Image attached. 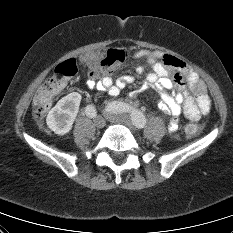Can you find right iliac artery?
<instances>
[{"instance_id":"right-iliac-artery-1","label":"right iliac artery","mask_w":233,"mask_h":233,"mask_svg":"<svg viewBox=\"0 0 233 233\" xmlns=\"http://www.w3.org/2000/svg\"><path fill=\"white\" fill-rule=\"evenodd\" d=\"M85 113L88 117L93 118L96 116V109L93 105H88L85 108Z\"/></svg>"}]
</instances>
